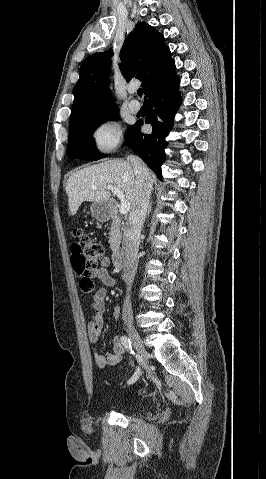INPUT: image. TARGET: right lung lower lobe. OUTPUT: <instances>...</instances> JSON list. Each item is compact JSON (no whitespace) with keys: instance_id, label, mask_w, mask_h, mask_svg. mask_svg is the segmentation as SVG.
<instances>
[{"instance_id":"1","label":"right lung lower lobe","mask_w":266,"mask_h":479,"mask_svg":"<svg viewBox=\"0 0 266 479\" xmlns=\"http://www.w3.org/2000/svg\"><path fill=\"white\" fill-rule=\"evenodd\" d=\"M148 115L145 123L152 125L151 134H143L140 127L142 121H137L130 129L126 144L134 150L141 159L162 178L161 165L165 160L164 149L167 146L165 137L173 127V119L181 102L179 94V78L172 79L150 92L145 98Z\"/></svg>"}]
</instances>
